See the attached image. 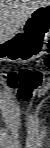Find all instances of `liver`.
Masks as SVG:
<instances>
[{
    "label": "liver",
    "mask_w": 50,
    "mask_h": 148,
    "mask_svg": "<svg viewBox=\"0 0 50 148\" xmlns=\"http://www.w3.org/2000/svg\"><path fill=\"white\" fill-rule=\"evenodd\" d=\"M46 5H49L48 0H1V43L11 39L37 9Z\"/></svg>",
    "instance_id": "1"
}]
</instances>
